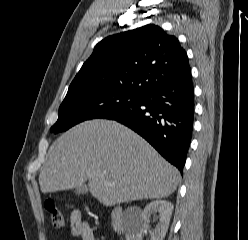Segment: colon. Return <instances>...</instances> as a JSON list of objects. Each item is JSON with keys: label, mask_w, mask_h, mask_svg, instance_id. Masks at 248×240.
<instances>
[{"label": "colon", "mask_w": 248, "mask_h": 240, "mask_svg": "<svg viewBox=\"0 0 248 240\" xmlns=\"http://www.w3.org/2000/svg\"><path fill=\"white\" fill-rule=\"evenodd\" d=\"M45 208L49 213L54 227L63 229L67 226V219L65 214L52 201H47Z\"/></svg>", "instance_id": "obj_1"}]
</instances>
